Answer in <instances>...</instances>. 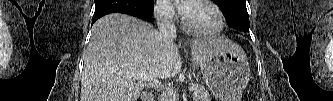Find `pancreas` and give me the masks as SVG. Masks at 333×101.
<instances>
[{
	"label": "pancreas",
	"instance_id": "1",
	"mask_svg": "<svg viewBox=\"0 0 333 101\" xmlns=\"http://www.w3.org/2000/svg\"><path fill=\"white\" fill-rule=\"evenodd\" d=\"M165 101H176V95L169 93L163 98ZM194 101H210V95L208 91L201 85H196L193 91Z\"/></svg>",
	"mask_w": 333,
	"mask_h": 101
}]
</instances>
